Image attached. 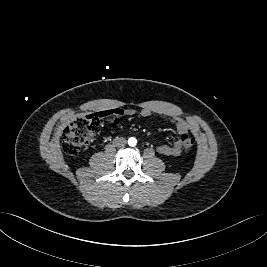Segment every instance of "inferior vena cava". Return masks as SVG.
<instances>
[{
  "label": "inferior vena cava",
  "mask_w": 267,
  "mask_h": 267,
  "mask_svg": "<svg viewBox=\"0 0 267 267\" xmlns=\"http://www.w3.org/2000/svg\"><path fill=\"white\" fill-rule=\"evenodd\" d=\"M114 144L116 145V146H118V147H122V146H124L125 144H126V139L125 138H116L115 140H114Z\"/></svg>",
  "instance_id": "inferior-vena-cava-1"
}]
</instances>
